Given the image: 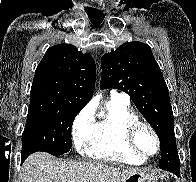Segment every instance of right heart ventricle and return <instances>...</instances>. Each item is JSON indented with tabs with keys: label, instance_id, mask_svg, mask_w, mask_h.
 <instances>
[{
	"label": "right heart ventricle",
	"instance_id": "obj_1",
	"mask_svg": "<svg viewBox=\"0 0 196 182\" xmlns=\"http://www.w3.org/2000/svg\"><path fill=\"white\" fill-rule=\"evenodd\" d=\"M139 121L129 102L112 97L94 124L87 154L104 162L141 165L145 159L133 153L126 143V131Z\"/></svg>",
	"mask_w": 196,
	"mask_h": 182
}]
</instances>
